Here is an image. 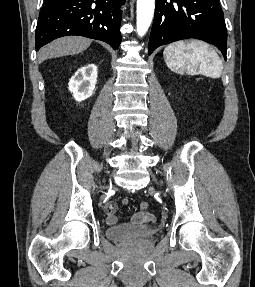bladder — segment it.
Returning <instances> with one entry per match:
<instances>
[{"mask_svg":"<svg viewBox=\"0 0 255 287\" xmlns=\"http://www.w3.org/2000/svg\"><path fill=\"white\" fill-rule=\"evenodd\" d=\"M156 234V229L147 224H119L106 229V235L112 240H144Z\"/></svg>","mask_w":255,"mask_h":287,"instance_id":"bladder-1","label":"bladder"}]
</instances>
